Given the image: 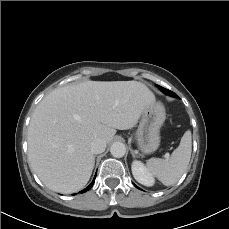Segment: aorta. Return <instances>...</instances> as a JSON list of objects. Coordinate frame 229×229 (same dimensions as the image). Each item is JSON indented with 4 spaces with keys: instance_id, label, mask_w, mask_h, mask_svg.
I'll return each mask as SVG.
<instances>
[{
    "instance_id": "obj_1",
    "label": "aorta",
    "mask_w": 229,
    "mask_h": 229,
    "mask_svg": "<svg viewBox=\"0 0 229 229\" xmlns=\"http://www.w3.org/2000/svg\"><path fill=\"white\" fill-rule=\"evenodd\" d=\"M110 153L113 157H116V158H121L125 155L126 153V147L123 143L121 142H114L112 145H111V148H110Z\"/></svg>"
}]
</instances>
